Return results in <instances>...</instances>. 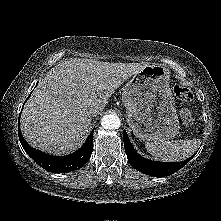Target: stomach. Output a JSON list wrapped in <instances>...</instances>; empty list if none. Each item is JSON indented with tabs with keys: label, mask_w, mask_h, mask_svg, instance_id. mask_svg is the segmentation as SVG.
Listing matches in <instances>:
<instances>
[{
	"label": "stomach",
	"mask_w": 221,
	"mask_h": 221,
	"mask_svg": "<svg viewBox=\"0 0 221 221\" xmlns=\"http://www.w3.org/2000/svg\"><path fill=\"white\" fill-rule=\"evenodd\" d=\"M170 72L161 65H147L134 74L123 88L127 123L134 135L146 142H161L179 133Z\"/></svg>",
	"instance_id": "obj_1"
}]
</instances>
